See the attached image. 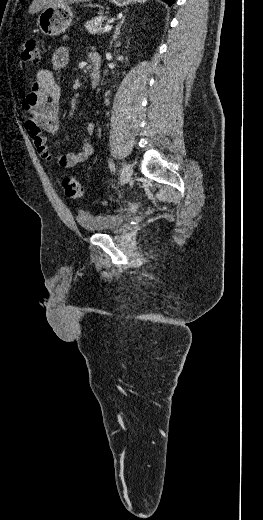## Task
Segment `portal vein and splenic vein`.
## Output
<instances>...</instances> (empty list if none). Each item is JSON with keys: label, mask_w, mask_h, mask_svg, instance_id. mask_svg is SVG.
<instances>
[{"label": "portal vein and splenic vein", "mask_w": 263, "mask_h": 520, "mask_svg": "<svg viewBox=\"0 0 263 520\" xmlns=\"http://www.w3.org/2000/svg\"><path fill=\"white\" fill-rule=\"evenodd\" d=\"M111 29H112V25H111V24H108V25H106V26L104 27L103 31H104V32H108V31H110Z\"/></svg>", "instance_id": "portal-vein-and-splenic-vein-1"}]
</instances>
